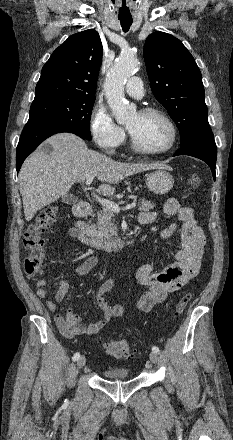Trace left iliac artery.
Listing matches in <instances>:
<instances>
[{"instance_id":"left-iliac-artery-1","label":"left iliac artery","mask_w":233,"mask_h":440,"mask_svg":"<svg viewBox=\"0 0 233 440\" xmlns=\"http://www.w3.org/2000/svg\"><path fill=\"white\" fill-rule=\"evenodd\" d=\"M152 351L155 352V353H159L160 350H159V348L157 346H153L152 347Z\"/></svg>"}]
</instances>
